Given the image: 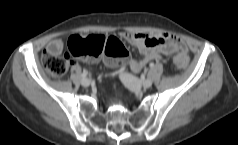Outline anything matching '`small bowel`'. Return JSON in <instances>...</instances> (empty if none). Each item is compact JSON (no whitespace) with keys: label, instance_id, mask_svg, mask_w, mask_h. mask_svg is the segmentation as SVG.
<instances>
[{"label":"small bowel","instance_id":"obj_1","mask_svg":"<svg viewBox=\"0 0 238 145\" xmlns=\"http://www.w3.org/2000/svg\"><path fill=\"white\" fill-rule=\"evenodd\" d=\"M122 37L128 43L135 46L143 55V58L140 60L132 59L128 55L126 65H130L132 71L135 73H139L150 61L162 59L164 55H170L175 51H180L183 54L187 52L184 42L173 35L163 34L154 36L144 33H123ZM61 49L62 42L59 39L52 40L47 46V50L56 55L61 52ZM84 60L89 63L96 62L94 58H84Z\"/></svg>","mask_w":238,"mask_h":145}]
</instances>
